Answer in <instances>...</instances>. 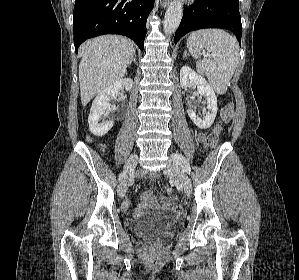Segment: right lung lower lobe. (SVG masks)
Segmentation results:
<instances>
[{
	"label": "right lung lower lobe",
	"mask_w": 299,
	"mask_h": 280,
	"mask_svg": "<svg viewBox=\"0 0 299 280\" xmlns=\"http://www.w3.org/2000/svg\"><path fill=\"white\" fill-rule=\"evenodd\" d=\"M154 0H75L73 29L75 51L89 38L120 34L144 49L146 21Z\"/></svg>",
	"instance_id": "98d812e1"
}]
</instances>
